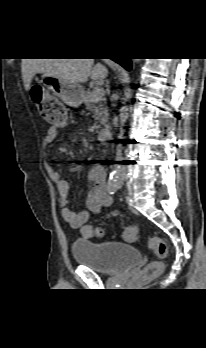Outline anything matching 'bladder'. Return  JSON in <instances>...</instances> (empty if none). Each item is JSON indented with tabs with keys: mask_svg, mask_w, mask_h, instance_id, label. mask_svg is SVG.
Masks as SVG:
<instances>
[{
	"mask_svg": "<svg viewBox=\"0 0 206 348\" xmlns=\"http://www.w3.org/2000/svg\"><path fill=\"white\" fill-rule=\"evenodd\" d=\"M72 254L78 265L103 274L119 273L141 259L136 247L113 241L77 240L72 244Z\"/></svg>",
	"mask_w": 206,
	"mask_h": 348,
	"instance_id": "31cf9c89",
	"label": "bladder"
}]
</instances>
